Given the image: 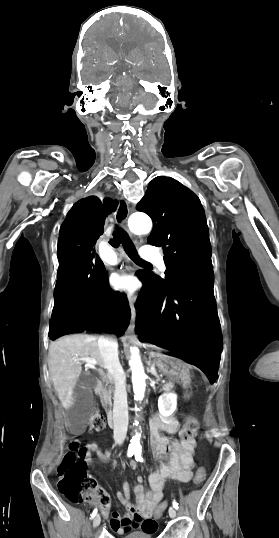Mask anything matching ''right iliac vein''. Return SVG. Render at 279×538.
I'll return each instance as SVG.
<instances>
[{"label": "right iliac vein", "mask_w": 279, "mask_h": 538, "mask_svg": "<svg viewBox=\"0 0 279 538\" xmlns=\"http://www.w3.org/2000/svg\"><path fill=\"white\" fill-rule=\"evenodd\" d=\"M100 521H101V517L100 515H96L95 518H94V521H93V527L94 528H97L100 524Z\"/></svg>", "instance_id": "63e3f726"}]
</instances>
